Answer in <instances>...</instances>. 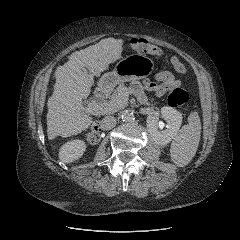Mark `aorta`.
<instances>
[{
    "mask_svg": "<svg viewBox=\"0 0 240 240\" xmlns=\"http://www.w3.org/2000/svg\"><path fill=\"white\" fill-rule=\"evenodd\" d=\"M121 119L125 123H132L135 120L134 114L129 110H124L121 112Z\"/></svg>",
    "mask_w": 240,
    "mask_h": 240,
    "instance_id": "762f6f07",
    "label": "aorta"
}]
</instances>
